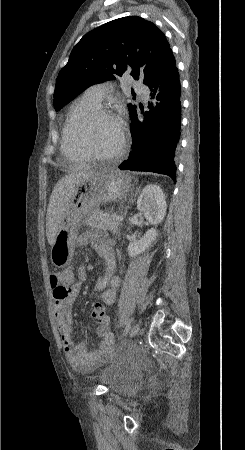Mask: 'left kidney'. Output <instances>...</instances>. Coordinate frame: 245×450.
Instances as JSON below:
<instances>
[{"label":"left kidney","instance_id":"5707ae66","mask_svg":"<svg viewBox=\"0 0 245 450\" xmlns=\"http://www.w3.org/2000/svg\"><path fill=\"white\" fill-rule=\"evenodd\" d=\"M137 209L150 224L161 223L165 217L167 205L160 186L147 185L137 199ZM157 235V230L151 228L139 241L130 242L127 248L128 255L133 258L144 252L156 240Z\"/></svg>","mask_w":245,"mask_h":450}]
</instances>
